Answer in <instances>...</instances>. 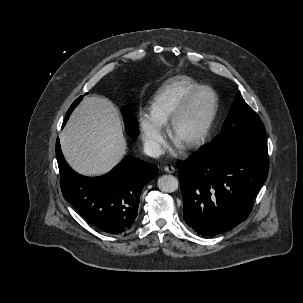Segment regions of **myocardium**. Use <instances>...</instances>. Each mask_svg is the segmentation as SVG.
<instances>
[{"label":"myocardium","instance_id":"1","mask_svg":"<svg viewBox=\"0 0 303 303\" xmlns=\"http://www.w3.org/2000/svg\"><path fill=\"white\" fill-rule=\"evenodd\" d=\"M204 91H209L214 98V104L212 107V110L205 121L204 125L201 127V129L197 132V134L192 137L190 140H188L185 144L187 148H196L200 146L205 139L207 138L210 130L213 127V124L216 120V117L219 112L220 108V98L218 93L210 86L208 85H201L198 88H196L193 92H191L188 97L183 101V103L176 109V111L173 113L169 120V130L172 136L176 137L177 129L179 126L180 121L182 118L186 115V113L191 108L193 102L195 99Z\"/></svg>","mask_w":303,"mask_h":303}]
</instances>
